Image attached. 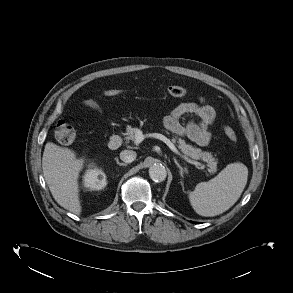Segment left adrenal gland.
<instances>
[{
    "label": "left adrenal gland",
    "instance_id": "a2214340",
    "mask_svg": "<svg viewBox=\"0 0 293 293\" xmlns=\"http://www.w3.org/2000/svg\"><path fill=\"white\" fill-rule=\"evenodd\" d=\"M174 162H175V164L177 165V167L179 168V170H180V175L182 176V177H184V173H187V169L186 168H183L178 162H177V160L174 158Z\"/></svg>",
    "mask_w": 293,
    "mask_h": 293
}]
</instances>
